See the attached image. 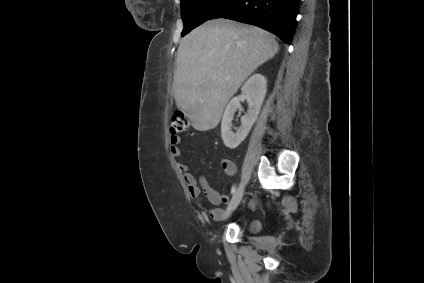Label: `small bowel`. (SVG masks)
Segmentation results:
<instances>
[{"label":"small bowel","mask_w":424,"mask_h":283,"mask_svg":"<svg viewBox=\"0 0 424 283\" xmlns=\"http://www.w3.org/2000/svg\"><path fill=\"white\" fill-rule=\"evenodd\" d=\"M181 143V137L178 135H172L170 138V149L174 157H180L181 150L179 144ZM221 166L225 174L229 177H233L236 174L237 168L233 161L229 159H221ZM179 169L183 174V178L186 182L189 194L197 205L203 208L205 214L211 217L215 221H219L225 218V211L222 208L206 209L202 203V193L207 200L213 205H219L221 203H227L229 197L227 195H221L215 188L211 186L205 176L200 175L196 177L190 170L189 166L183 163H179Z\"/></svg>","instance_id":"1"}]
</instances>
